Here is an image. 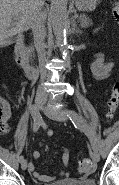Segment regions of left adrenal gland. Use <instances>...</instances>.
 <instances>
[{"mask_svg": "<svg viewBox=\"0 0 119 185\" xmlns=\"http://www.w3.org/2000/svg\"><path fill=\"white\" fill-rule=\"evenodd\" d=\"M73 31H75L77 34H81V32L78 29L76 30V23L74 20H73Z\"/></svg>", "mask_w": 119, "mask_h": 185, "instance_id": "left-adrenal-gland-1", "label": "left adrenal gland"}]
</instances>
